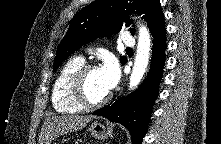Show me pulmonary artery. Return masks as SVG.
I'll use <instances>...</instances> for the list:
<instances>
[{
  "mask_svg": "<svg viewBox=\"0 0 221 144\" xmlns=\"http://www.w3.org/2000/svg\"><path fill=\"white\" fill-rule=\"evenodd\" d=\"M121 42L127 47H133L135 45V40L129 33H124L122 35Z\"/></svg>",
  "mask_w": 221,
  "mask_h": 144,
  "instance_id": "pulmonary-artery-1",
  "label": "pulmonary artery"
}]
</instances>
